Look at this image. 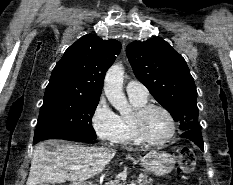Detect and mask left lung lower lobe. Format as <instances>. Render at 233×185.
Segmentation results:
<instances>
[{"mask_svg": "<svg viewBox=\"0 0 233 185\" xmlns=\"http://www.w3.org/2000/svg\"><path fill=\"white\" fill-rule=\"evenodd\" d=\"M181 137L190 139L193 141L202 151H204V145L200 130L192 129L181 134Z\"/></svg>", "mask_w": 233, "mask_h": 185, "instance_id": "left-lung-lower-lobe-1", "label": "left lung lower lobe"}]
</instances>
